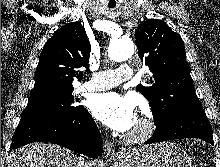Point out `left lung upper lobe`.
<instances>
[{
    "mask_svg": "<svg viewBox=\"0 0 220 167\" xmlns=\"http://www.w3.org/2000/svg\"><path fill=\"white\" fill-rule=\"evenodd\" d=\"M138 55L153 74L138 91L150 103L155 123L183 110L202 108L195 93L185 46L178 33L159 19L143 21L135 32Z\"/></svg>",
    "mask_w": 220,
    "mask_h": 167,
    "instance_id": "5c2ea615",
    "label": "left lung upper lobe"
}]
</instances>
